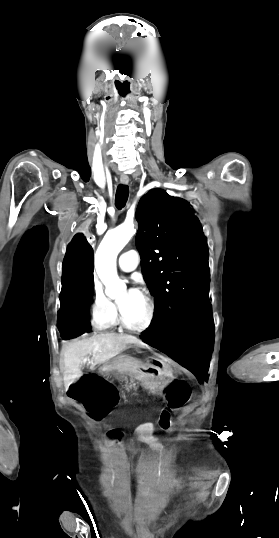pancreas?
<instances>
[{
  "instance_id": "pancreas-1",
  "label": "pancreas",
  "mask_w": 279,
  "mask_h": 538,
  "mask_svg": "<svg viewBox=\"0 0 279 538\" xmlns=\"http://www.w3.org/2000/svg\"><path fill=\"white\" fill-rule=\"evenodd\" d=\"M118 360V358H116ZM125 380H128V378H122L121 382H125ZM127 390L128 388H135L134 384H131V386H126Z\"/></svg>"
}]
</instances>
